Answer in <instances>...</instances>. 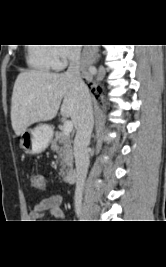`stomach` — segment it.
Returning <instances> with one entry per match:
<instances>
[{
	"label": "stomach",
	"instance_id": "0dacf381",
	"mask_svg": "<svg viewBox=\"0 0 166 267\" xmlns=\"http://www.w3.org/2000/svg\"><path fill=\"white\" fill-rule=\"evenodd\" d=\"M52 136V127L47 124H41L21 134L20 147L26 154H40L47 149Z\"/></svg>",
	"mask_w": 166,
	"mask_h": 267
}]
</instances>
